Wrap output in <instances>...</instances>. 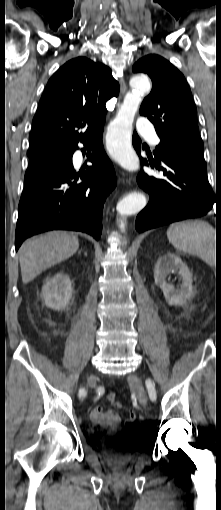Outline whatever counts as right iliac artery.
<instances>
[{"label":"right iliac artery","mask_w":221,"mask_h":510,"mask_svg":"<svg viewBox=\"0 0 221 510\" xmlns=\"http://www.w3.org/2000/svg\"><path fill=\"white\" fill-rule=\"evenodd\" d=\"M84 396H85V390H84V388H81L79 391V397L83 398Z\"/></svg>","instance_id":"obj_1"}]
</instances>
